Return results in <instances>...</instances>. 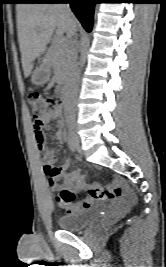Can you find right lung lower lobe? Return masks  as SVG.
<instances>
[{
    "label": "right lung lower lobe",
    "mask_w": 166,
    "mask_h": 267,
    "mask_svg": "<svg viewBox=\"0 0 166 267\" xmlns=\"http://www.w3.org/2000/svg\"><path fill=\"white\" fill-rule=\"evenodd\" d=\"M62 1L70 3L72 11L80 20L82 26L86 31L90 32L92 30L93 12L96 0H33L30 2L20 1L18 3H62Z\"/></svg>",
    "instance_id": "1"
}]
</instances>
